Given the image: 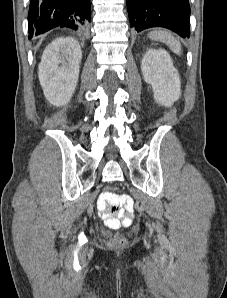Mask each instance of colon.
<instances>
[{"label":"colon","mask_w":227,"mask_h":298,"mask_svg":"<svg viewBox=\"0 0 227 298\" xmlns=\"http://www.w3.org/2000/svg\"><path fill=\"white\" fill-rule=\"evenodd\" d=\"M119 205H123L128 212L133 208V202L130 197L112 191L103 193L98 200V209L105 213V220L110 227L119 225V220L113 216V213L118 211ZM125 242V238L119 233L112 235L107 240V244L114 248L122 247Z\"/></svg>","instance_id":"5ec220e1"}]
</instances>
